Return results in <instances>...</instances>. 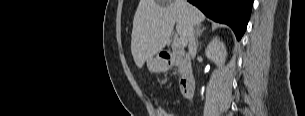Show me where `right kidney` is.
I'll return each mask as SVG.
<instances>
[{
  "instance_id": "obj_1",
  "label": "right kidney",
  "mask_w": 305,
  "mask_h": 116,
  "mask_svg": "<svg viewBox=\"0 0 305 116\" xmlns=\"http://www.w3.org/2000/svg\"><path fill=\"white\" fill-rule=\"evenodd\" d=\"M208 59L212 60L217 66L222 67L227 57L226 47L218 37L213 38L205 50Z\"/></svg>"
}]
</instances>
